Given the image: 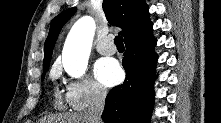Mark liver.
I'll use <instances>...</instances> for the list:
<instances>
[{
    "label": "liver",
    "instance_id": "obj_1",
    "mask_svg": "<svg viewBox=\"0 0 221 123\" xmlns=\"http://www.w3.org/2000/svg\"><path fill=\"white\" fill-rule=\"evenodd\" d=\"M48 123H91L86 114H69L65 116H59L56 119L50 118Z\"/></svg>",
    "mask_w": 221,
    "mask_h": 123
}]
</instances>
